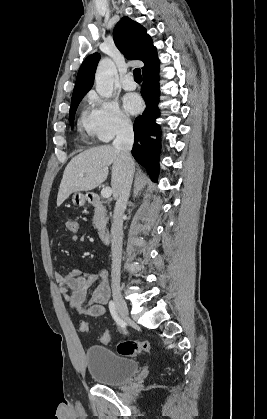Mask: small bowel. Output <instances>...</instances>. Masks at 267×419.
<instances>
[{
    "mask_svg": "<svg viewBox=\"0 0 267 419\" xmlns=\"http://www.w3.org/2000/svg\"><path fill=\"white\" fill-rule=\"evenodd\" d=\"M72 242H78L79 238ZM54 278L67 306L79 315L98 317L106 312V304L110 296V280L106 269L86 272L72 269L65 273L55 272ZM95 286L89 301V288Z\"/></svg>",
    "mask_w": 267,
    "mask_h": 419,
    "instance_id": "small-bowel-1",
    "label": "small bowel"
}]
</instances>
